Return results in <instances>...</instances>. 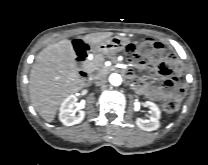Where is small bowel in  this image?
<instances>
[{
  "label": "small bowel",
  "mask_w": 208,
  "mask_h": 165,
  "mask_svg": "<svg viewBox=\"0 0 208 165\" xmlns=\"http://www.w3.org/2000/svg\"><path fill=\"white\" fill-rule=\"evenodd\" d=\"M180 56L176 52H167L149 73V87L143 79L136 78L135 85L141 94L151 100L167 99L174 92L181 93L186 84V75L182 71Z\"/></svg>",
  "instance_id": "1"
}]
</instances>
